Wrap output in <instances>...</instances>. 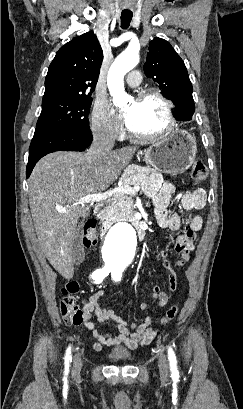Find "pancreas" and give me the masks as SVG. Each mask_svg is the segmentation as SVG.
<instances>
[{
	"mask_svg": "<svg viewBox=\"0 0 243 409\" xmlns=\"http://www.w3.org/2000/svg\"><path fill=\"white\" fill-rule=\"evenodd\" d=\"M152 169L138 165H130L122 177V185H140L146 186L149 174ZM115 202L111 203L103 212L104 219L109 223L121 220H129L135 215L134 201L132 196L125 193L114 195Z\"/></svg>",
	"mask_w": 243,
	"mask_h": 409,
	"instance_id": "1",
	"label": "pancreas"
}]
</instances>
